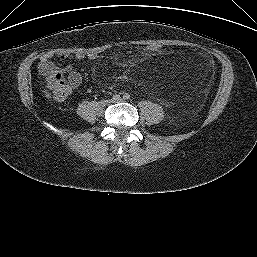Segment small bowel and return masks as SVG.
Returning a JSON list of instances; mask_svg holds the SVG:
<instances>
[{
    "instance_id": "small-bowel-1",
    "label": "small bowel",
    "mask_w": 257,
    "mask_h": 257,
    "mask_svg": "<svg viewBox=\"0 0 257 257\" xmlns=\"http://www.w3.org/2000/svg\"><path fill=\"white\" fill-rule=\"evenodd\" d=\"M52 55H46L41 58L39 63V72L47 76L50 72H65L68 76V82L72 89H78L82 83V76L79 71L74 66L75 60H80L84 56L82 54H77L74 59H68V63L64 68H59L53 62H51ZM90 59H95V54H90L88 56Z\"/></svg>"
}]
</instances>
